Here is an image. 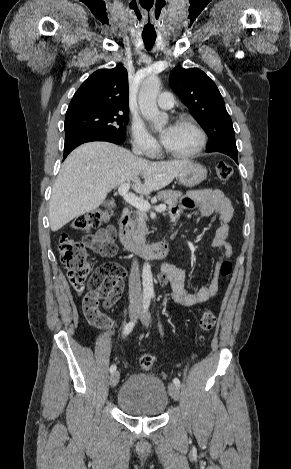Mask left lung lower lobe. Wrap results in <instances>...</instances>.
I'll list each match as a JSON object with an SVG mask.
<instances>
[{
    "label": "left lung lower lobe",
    "mask_w": 291,
    "mask_h": 469,
    "mask_svg": "<svg viewBox=\"0 0 291 469\" xmlns=\"http://www.w3.org/2000/svg\"><path fill=\"white\" fill-rule=\"evenodd\" d=\"M206 152H221L224 153L228 156H230L236 163H238L237 160V148H231V147H221L213 150H206Z\"/></svg>",
    "instance_id": "0a47b994"
}]
</instances>
